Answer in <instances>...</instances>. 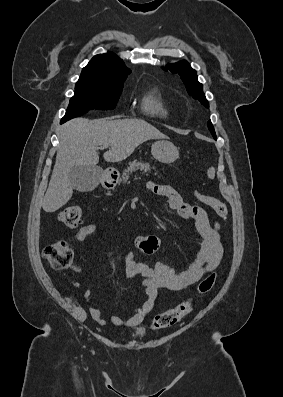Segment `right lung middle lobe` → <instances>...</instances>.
Masks as SVG:
<instances>
[{
	"label": "right lung middle lobe",
	"instance_id": "dd1d6c3e",
	"mask_svg": "<svg viewBox=\"0 0 283 397\" xmlns=\"http://www.w3.org/2000/svg\"><path fill=\"white\" fill-rule=\"evenodd\" d=\"M122 81H100L79 78L75 86V94L61 123L86 113L89 109H114L123 89Z\"/></svg>",
	"mask_w": 283,
	"mask_h": 397
}]
</instances>
